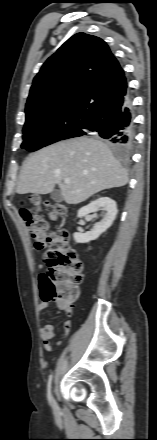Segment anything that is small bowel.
<instances>
[{
    "label": "small bowel",
    "mask_w": 157,
    "mask_h": 440,
    "mask_svg": "<svg viewBox=\"0 0 157 440\" xmlns=\"http://www.w3.org/2000/svg\"><path fill=\"white\" fill-rule=\"evenodd\" d=\"M48 308V304L47 302H41L38 305V309L39 311H44ZM69 322L66 323L65 325V329L66 331H68L69 329ZM40 336L41 339L43 341L44 347L47 351H51L52 347L54 346V344H59L60 341H57L56 343L53 342V339L55 338V334L53 331V326L51 324L45 325L41 330H40Z\"/></svg>",
    "instance_id": "obj_1"
}]
</instances>
